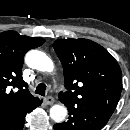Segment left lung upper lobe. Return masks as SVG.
<instances>
[{
  "label": "left lung upper lobe",
  "mask_w": 130,
  "mask_h": 130,
  "mask_svg": "<svg viewBox=\"0 0 130 130\" xmlns=\"http://www.w3.org/2000/svg\"><path fill=\"white\" fill-rule=\"evenodd\" d=\"M64 72L67 93L59 100L95 105L114 112L122 89V73L115 58L101 45L87 39H58L54 43Z\"/></svg>",
  "instance_id": "5c2ea615"
}]
</instances>
